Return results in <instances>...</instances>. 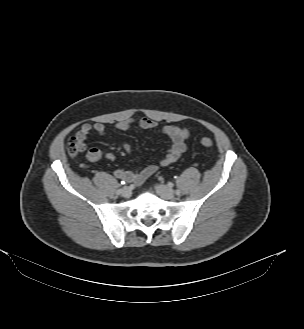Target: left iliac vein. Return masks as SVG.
<instances>
[{
    "label": "left iliac vein",
    "mask_w": 304,
    "mask_h": 329,
    "mask_svg": "<svg viewBox=\"0 0 304 329\" xmlns=\"http://www.w3.org/2000/svg\"><path fill=\"white\" fill-rule=\"evenodd\" d=\"M156 190L163 199H173L175 192L172 188L165 185H156Z\"/></svg>",
    "instance_id": "left-iliac-vein-1"
}]
</instances>
